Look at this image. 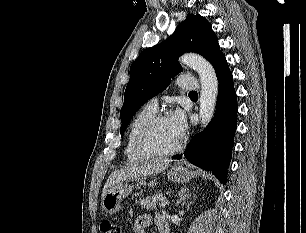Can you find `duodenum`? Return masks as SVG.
<instances>
[{"label": "duodenum", "instance_id": "duodenum-1", "mask_svg": "<svg viewBox=\"0 0 306 233\" xmlns=\"http://www.w3.org/2000/svg\"><path fill=\"white\" fill-rule=\"evenodd\" d=\"M159 232L160 233H169V226H168V224L161 226Z\"/></svg>", "mask_w": 306, "mask_h": 233}]
</instances>
